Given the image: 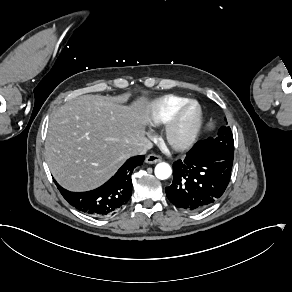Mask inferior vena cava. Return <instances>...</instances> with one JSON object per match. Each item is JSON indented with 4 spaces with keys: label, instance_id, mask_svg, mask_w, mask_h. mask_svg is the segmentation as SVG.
<instances>
[{
    "label": "inferior vena cava",
    "instance_id": "obj_1",
    "mask_svg": "<svg viewBox=\"0 0 292 292\" xmlns=\"http://www.w3.org/2000/svg\"><path fill=\"white\" fill-rule=\"evenodd\" d=\"M151 148H152V142H150L148 139H145V142L143 143V145L133 150L130 156L143 155L146 153L148 149H151Z\"/></svg>",
    "mask_w": 292,
    "mask_h": 292
}]
</instances>
